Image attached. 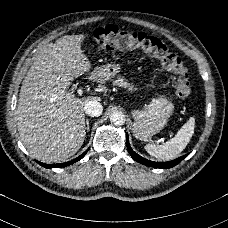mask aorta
<instances>
[{
  "label": "aorta",
  "mask_w": 228,
  "mask_h": 228,
  "mask_svg": "<svg viewBox=\"0 0 228 228\" xmlns=\"http://www.w3.org/2000/svg\"><path fill=\"white\" fill-rule=\"evenodd\" d=\"M110 121L115 126H122L125 124L126 117L123 112L115 111L111 114Z\"/></svg>",
  "instance_id": "aorta-1"
}]
</instances>
